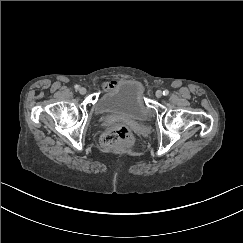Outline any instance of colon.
Masks as SVG:
<instances>
[{
	"mask_svg": "<svg viewBox=\"0 0 243 243\" xmlns=\"http://www.w3.org/2000/svg\"><path fill=\"white\" fill-rule=\"evenodd\" d=\"M130 140H131V132L125 126H117L112 130L108 131L102 137V143L107 147H113L122 142H128Z\"/></svg>",
	"mask_w": 243,
	"mask_h": 243,
	"instance_id": "obj_1",
	"label": "colon"
}]
</instances>
